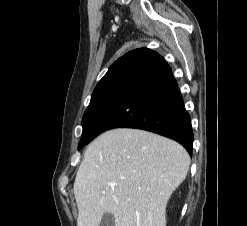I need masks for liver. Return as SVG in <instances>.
<instances>
[{"mask_svg":"<svg viewBox=\"0 0 247 226\" xmlns=\"http://www.w3.org/2000/svg\"><path fill=\"white\" fill-rule=\"evenodd\" d=\"M190 156L177 142L119 128L86 149L74 182L77 226H166V206L189 171Z\"/></svg>","mask_w":247,"mask_h":226,"instance_id":"1","label":"liver"}]
</instances>
